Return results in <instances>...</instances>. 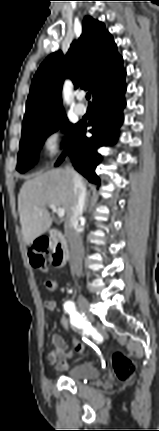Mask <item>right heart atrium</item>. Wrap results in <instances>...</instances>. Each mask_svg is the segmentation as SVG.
Masks as SVG:
<instances>
[{
  "label": "right heart atrium",
  "instance_id": "right-heart-atrium-1",
  "mask_svg": "<svg viewBox=\"0 0 159 431\" xmlns=\"http://www.w3.org/2000/svg\"><path fill=\"white\" fill-rule=\"evenodd\" d=\"M41 151L47 163L53 162L62 153V134L58 127L48 129L41 140Z\"/></svg>",
  "mask_w": 159,
  "mask_h": 431
}]
</instances>
